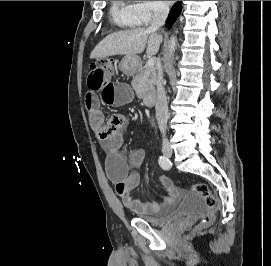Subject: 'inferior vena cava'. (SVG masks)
<instances>
[{
	"label": "inferior vena cava",
	"mask_w": 271,
	"mask_h": 266,
	"mask_svg": "<svg viewBox=\"0 0 271 266\" xmlns=\"http://www.w3.org/2000/svg\"><path fill=\"white\" fill-rule=\"evenodd\" d=\"M169 13V7L163 3H156L154 7V15L151 25L148 30L156 32L161 26L164 25ZM156 118L159 129L165 138L168 120V105L165 90L163 87V73L161 68L158 71L157 76V98H156Z\"/></svg>",
	"instance_id": "obj_1"
}]
</instances>
